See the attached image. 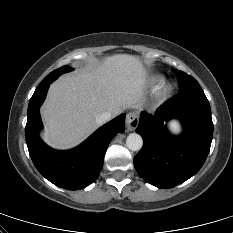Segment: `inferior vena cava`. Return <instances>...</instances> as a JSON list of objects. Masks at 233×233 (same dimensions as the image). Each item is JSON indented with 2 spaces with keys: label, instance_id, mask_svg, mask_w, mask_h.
Listing matches in <instances>:
<instances>
[{
  "label": "inferior vena cava",
  "instance_id": "1",
  "mask_svg": "<svg viewBox=\"0 0 233 233\" xmlns=\"http://www.w3.org/2000/svg\"><path fill=\"white\" fill-rule=\"evenodd\" d=\"M112 113L107 111V112H103L101 115H99L97 118H96V123L98 125H102L104 123H106L107 121H109L111 118H112Z\"/></svg>",
  "mask_w": 233,
  "mask_h": 233
}]
</instances>
